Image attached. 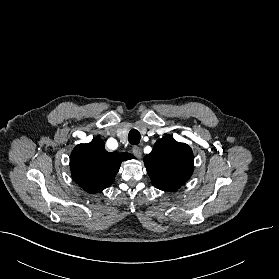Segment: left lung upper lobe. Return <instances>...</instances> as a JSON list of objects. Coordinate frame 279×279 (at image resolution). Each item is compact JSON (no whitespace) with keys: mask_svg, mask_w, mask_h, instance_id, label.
Segmentation results:
<instances>
[{"mask_svg":"<svg viewBox=\"0 0 279 279\" xmlns=\"http://www.w3.org/2000/svg\"><path fill=\"white\" fill-rule=\"evenodd\" d=\"M152 185L163 191H176L192 175L193 152L185 144L166 135L157 140L152 152L144 157Z\"/></svg>","mask_w":279,"mask_h":279,"instance_id":"left-lung-upper-lobe-1","label":"left lung upper lobe"}]
</instances>
